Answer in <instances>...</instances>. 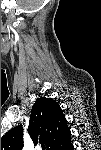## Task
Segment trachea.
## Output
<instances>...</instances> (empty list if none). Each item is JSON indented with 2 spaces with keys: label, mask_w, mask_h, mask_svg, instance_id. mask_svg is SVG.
Returning <instances> with one entry per match:
<instances>
[{
  "label": "trachea",
  "mask_w": 101,
  "mask_h": 150,
  "mask_svg": "<svg viewBox=\"0 0 101 150\" xmlns=\"http://www.w3.org/2000/svg\"><path fill=\"white\" fill-rule=\"evenodd\" d=\"M42 149L45 150V145L42 146Z\"/></svg>",
  "instance_id": "1"
}]
</instances>
